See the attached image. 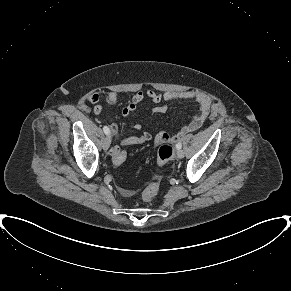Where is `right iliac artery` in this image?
Masks as SVG:
<instances>
[{
  "label": "right iliac artery",
  "mask_w": 291,
  "mask_h": 291,
  "mask_svg": "<svg viewBox=\"0 0 291 291\" xmlns=\"http://www.w3.org/2000/svg\"><path fill=\"white\" fill-rule=\"evenodd\" d=\"M103 131L106 135H109L110 134V129L107 127V126H104L103 127Z\"/></svg>",
  "instance_id": "obj_1"
}]
</instances>
